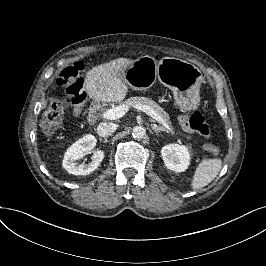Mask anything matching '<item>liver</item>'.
Wrapping results in <instances>:
<instances>
[{
    "label": "liver",
    "instance_id": "liver-1",
    "mask_svg": "<svg viewBox=\"0 0 266 266\" xmlns=\"http://www.w3.org/2000/svg\"><path fill=\"white\" fill-rule=\"evenodd\" d=\"M136 62L133 58L117 57L92 66L83 77L88 98L101 103H122L130 91L123 80L124 72Z\"/></svg>",
    "mask_w": 266,
    "mask_h": 266
}]
</instances>
